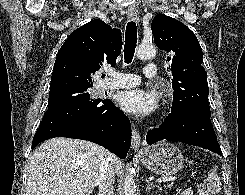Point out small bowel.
<instances>
[{"label": "small bowel", "instance_id": "small-bowel-1", "mask_svg": "<svg viewBox=\"0 0 245 195\" xmlns=\"http://www.w3.org/2000/svg\"><path fill=\"white\" fill-rule=\"evenodd\" d=\"M181 195H193V190L188 188L181 192Z\"/></svg>", "mask_w": 245, "mask_h": 195}]
</instances>
